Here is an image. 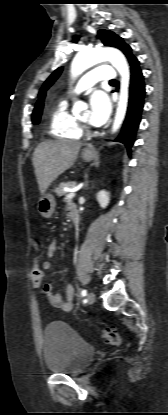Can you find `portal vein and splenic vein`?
I'll list each match as a JSON object with an SVG mask.
<instances>
[{"instance_id": "18ae733b", "label": "portal vein and splenic vein", "mask_w": 168, "mask_h": 415, "mask_svg": "<svg viewBox=\"0 0 168 415\" xmlns=\"http://www.w3.org/2000/svg\"><path fill=\"white\" fill-rule=\"evenodd\" d=\"M78 191L77 188L73 189L68 195V198H74L76 196V192Z\"/></svg>"}]
</instances>
